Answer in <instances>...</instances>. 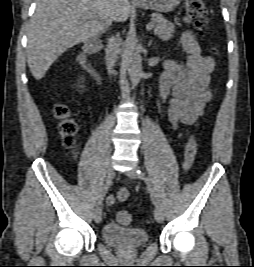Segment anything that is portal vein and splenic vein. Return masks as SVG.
<instances>
[{
    "mask_svg": "<svg viewBox=\"0 0 254 267\" xmlns=\"http://www.w3.org/2000/svg\"><path fill=\"white\" fill-rule=\"evenodd\" d=\"M154 26V23L153 22H149L147 25H146V29L147 30H151Z\"/></svg>",
    "mask_w": 254,
    "mask_h": 267,
    "instance_id": "1",
    "label": "portal vein and splenic vein"
}]
</instances>
